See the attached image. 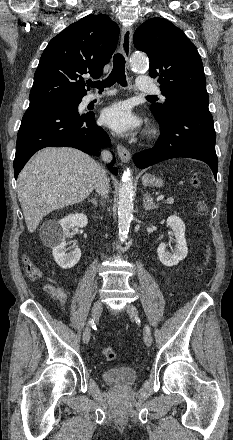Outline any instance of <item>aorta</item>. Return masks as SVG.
Returning <instances> with one entry per match:
<instances>
[{
    "mask_svg": "<svg viewBox=\"0 0 233 440\" xmlns=\"http://www.w3.org/2000/svg\"><path fill=\"white\" fill-rule=\"evenodd\" d=\"M130 66L135 72H145L149 66L148 58L142 53L133 54L130 58ZM133 196L131 171L128 169L122 176L119 188L118 235L121 241H124L128 237L130 223L133 218Z\"/></svg>",
    "mask_w": 233,
    "mask_h": 440,
    "instance_id": "1",
    "label": "aorta"
}]
</instances>
